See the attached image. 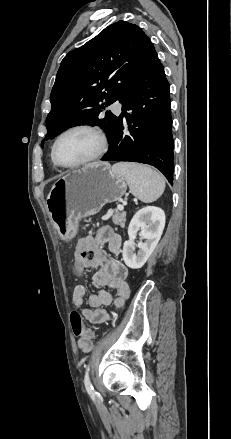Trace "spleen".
Masks as SVG:
<instances>
[{
  "label": "spleen",
  "instance_id": "obj_1",
  "mask_svg": "<svg viewBox=\"0 0 231 439\" xmlns=\"http://www.w3.org/2000/svg\"><path fill=\"white\" fill-rule=\"evenodd\" d=\"M112 170L123 176L131 193L144 203L157 200L164 192L165 181L155 170L136 163H117Z\"/></svg>",
  "mask_w": 231,
  "mask_h": 439
}]
</instances>
